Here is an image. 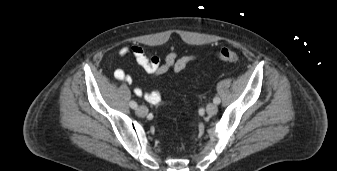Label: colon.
Listing matches in <instances>:
<instances>
[{
    "instance_id": "colon-1",
    "label": "colon",
    "mask_w": 337,
    "mask_h": 171,
    "mask_svg": "<svg viewBox=\"0 0 337 171\" xmlns=\"http://www.w3.org/2000/svg\"><path fill=\"white\" fill-rule=\"evenodd\" d=\"M215 56L225 62H236L239 58L237 52L229 48L220 49L215 53Z\"/></svg>"
}]
</instances>
